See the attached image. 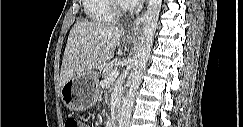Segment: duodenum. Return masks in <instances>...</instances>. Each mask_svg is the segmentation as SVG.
<instances>
[{"label": "duodenum", "mask_w": 243, "mask_h": 127, "mask_svg": "<svg viewBox=\"0 0 243 127\" xmlns=\"http://www.w3.org/2000/svg\"><path fill=\"white\" fill-rule=\"evenodd\" d=\"M120 111H121V104H118L116 106V110H115L116 120L118 119V115H119Z\"/></svg>", "instance_id": "obj_1"}]
</instances>
